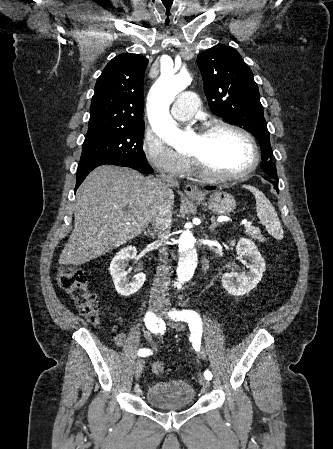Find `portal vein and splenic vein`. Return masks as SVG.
<instances>
[{
  "label": "portal vein and splenic vein",
  "instance_id": "1",
  "mask_svg": "<svg viewBox=\"0 0 333 449\" xmlns=\"http://www.w3.org/2000/svg\"><path fill=\"white\" fill-rule=\"evenodd\" d=\"M245 227H246V228L251 227V223L246 221V222H245Z\"/></svg>",
  "mask_w": 333,
  "mask_h": 449
}]
</instances>
